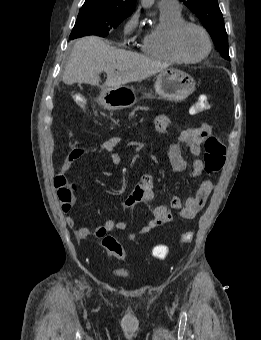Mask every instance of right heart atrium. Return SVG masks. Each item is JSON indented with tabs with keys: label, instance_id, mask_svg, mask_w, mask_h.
<instances>
[{
	"label": "right heart atrium",
	"instance_id": "obj_1",
	"mask_svg": "<svg viewBox=\"0 0 261 340\" xmlns=\"http://www.w3.org/2000/svg\"><path fill=\"white\" fill-rule=\"evenodd\" d=\"M138 21H139V13L137 11H135L128 18V20H127V22L124 26L125 32L129 33L131 31H133L134 29H136V27L138 26Z\"/></svg>",
	"mask_w": 261,
	"mask_h": 340
}]
</instances>
